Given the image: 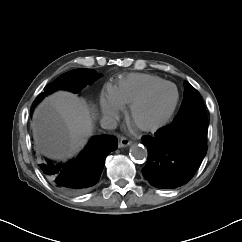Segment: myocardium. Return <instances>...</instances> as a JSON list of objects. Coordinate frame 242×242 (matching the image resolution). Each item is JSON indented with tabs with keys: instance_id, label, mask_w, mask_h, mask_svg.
<instances>
[{
	"instance_id": "myocardium-1",
	"label": "myocardium",
	"mask_w": 242,
	"mask_h": 242,
	"mask_svg": "<svg viewBox=\"0 0 242 242\" xmlns=\"http://www.w3.org/2000/svg\"><path fill=\"white\" fill-rule=\"evenodd\" d=\"M166 86H172L176 92L175 101H174L171 109L169 110L168 114L166 115V117L160 123H158L156 125H152V126H144V125L137 124L134 120L137 109L140 106H142L144 103H146L157 91H159L160 89H162ZM179 102H180V91H179L178 87L172 82L165 81V82H162L155 86H152L151 88H149L147 91H145L140 97H138L135 101H133L130 104L129 112H128V119H129L131 125L135 129H137L141 132H145V133H155V132L160 131L164 127H166L172 121V119L174 118V115L177 111Z\"/></svg>"
}]
</instances>
